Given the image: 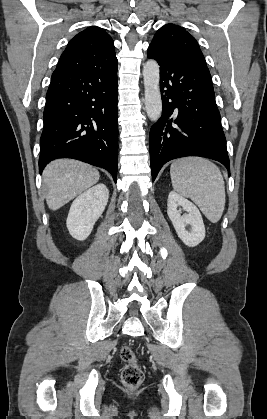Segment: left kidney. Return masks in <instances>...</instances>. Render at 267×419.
I'll return each instance as SVG.
<instances>
[{
  "label": "left kidney",
  "instance_id": "5707ae66",
  "mask_svg": "<svg viewBox=\"0 0 267 419\" xmlns=\"http://www.w3.org/2000/svg\"><path fill=\"white\" fill-rule=\"evenodd\" d=\"M181 210L186 213L181 215ZM167 214L178 237L185 245L195 247L203 241L205 238L203 219L200 211L192 202L171 191L167 201Z\"/></svg>",
  "mask_w": 267,
  "mask_h": 419
}]
</instances>
